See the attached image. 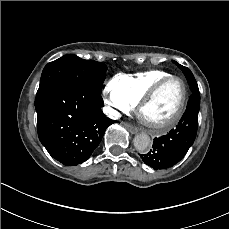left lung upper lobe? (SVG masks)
<instances>
[{
	"label": "left lung upper lobe",
	"instance_id": "1",
	"mask_svg": "<svg viewBox=\"0 0 229 229\" xmlns=\"http://www.w3.org/2000/svg\"><path fill=\"white\" fill-rule=\"evenodd\" d=\"M173 63H175L178 66V68H180L183 71L184 74L186 72H189L190 71L187 67H184V66L178 64L176 61H173Z\"/></svg>",
	"mask_w": 229,
	"mask_h": 229
}]
</instances>
